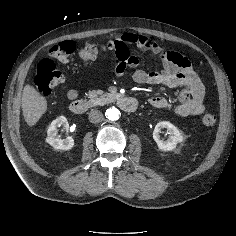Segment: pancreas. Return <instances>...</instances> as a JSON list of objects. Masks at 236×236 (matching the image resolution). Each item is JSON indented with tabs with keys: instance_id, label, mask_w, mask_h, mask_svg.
Wrapping results in <instances>:
<instances>
[{
	"instance_id": "1",
	"label": "pancreas",
	"mask_w": 236,
	"mask_h": 236,
	"mask_svg": "<svg viewBox=\"0 0 236 236\" xmlns=\"http://www.w3.org/2000/svg\"><path fill=\"white\" fill-rule=\"evenodd\" d=\"M87 97L90 99L89 103L96 106L112 102L115 99V94L105 93L102 90H92L87 93Z\"/></svg>"
}]
</instances>
